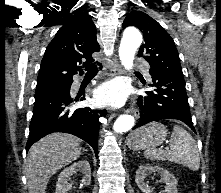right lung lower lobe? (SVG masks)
I'll return each instance as SVG.
<instances>
[{
	"instance_id": "right-lung-lower-lobe-1",
	"label": "right lung lower lobe",
	"mask_w": 221,
	"mask_h": 193,
	"mask_svg": "<svg viewBox=\"0 0 221 193\" xmlns=\"http://www.w3.org/2000/svg\"><path fill=\"white\" fill-rule=\"evenodd\" d=\"M64 84L35 94L26 151L34 142L50 133L65 132L89 143L97 155L99 118L105 116L106 111L92 110L88 107L72 109L71 106L78 99L73 100L70 97L72 81Z\"/></svg>"
}]
</instances>
